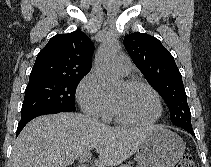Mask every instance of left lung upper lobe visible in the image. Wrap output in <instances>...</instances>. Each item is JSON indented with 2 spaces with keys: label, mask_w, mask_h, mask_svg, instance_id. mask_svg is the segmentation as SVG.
<instances>
[{
  "label": "left lung upper lobe",
  "mask_w": 211,
  "mask_h": 167,
  "mask_svg": "<svg viewBox=\"0 0 211 167\" xmlns=\"http://www.w3.org/2000/svg\"><path fill=\"white\" fill-rule=\"evenodd\" d=\"M124 45L134 64L166 102L172 123L192 128L182 76L170 52L157 38L139 32L126 36Z\"/></svg>",
  "instance_id": "obj_1"
}]
</instances>
